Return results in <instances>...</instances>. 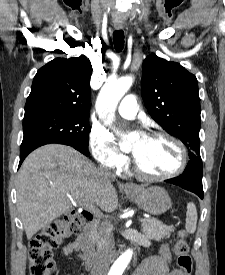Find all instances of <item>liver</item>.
<instances>
[{
	"mask_svg": "<svg viewBox=\"0 0 225 275\" xmlns=\"http://www.w3.org/2000/svg\"><path fill=\"white\" fill-rule=\"evenodd\" d=\"M17 206L28 240L54 219L72 209L71 201H88L106 212L118 198L109 179L75 149L48 144L33 151L17 177Z\"/></svg>",
	"mask_w": 225,
	"mask_h": 275,
	"instance_id": "6515ba94",
	"label": "liver"
}]
</instances>
